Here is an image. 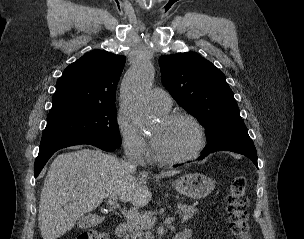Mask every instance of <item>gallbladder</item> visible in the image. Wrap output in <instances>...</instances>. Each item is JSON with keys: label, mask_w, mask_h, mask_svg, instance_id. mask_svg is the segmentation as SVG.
<instances>
[{"label": "gallbladder", "mask_w": 304, "mask_h": 239, "mask_svg": "<svg viewBox=\"0 0 304 239\" xmlns=\"http://www.w3.org/2000/svg\"><path fill=\"white\" fill-rule=\"evenodd\" d=\"M93 218L94 216L92 215L81 217L77 221V226L80 228H89L94 225Z\"/></svg>", "instance_id": "gallbladder-1"}]
</instances>
